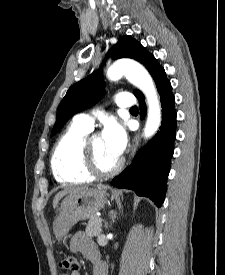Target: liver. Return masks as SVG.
I'll return each instance as SVG.
<instances>
[{
    "label": "liver",
    "instance_id": "6515ba94",
    "mask_svg": "<svg viewBox=\"0 0 225 275\" xmlns=\"http://www.w3.org/2000/svg\"><path fill=\"white\" fill-rule=\"evenodd\" d=\"M86 190H88V187L83 186V187H78V188H70L68 190H63V191L58 192L53 199V207L55 208L57 206L58 202L60 201V199L63 198L65 195L75 194V193L83 192Z\"/></svg>",
    "mask_w": 225,
    "mask_h": 275
}]
</instances>
